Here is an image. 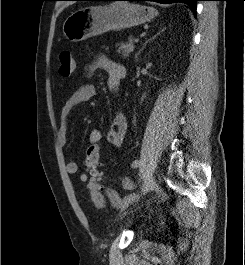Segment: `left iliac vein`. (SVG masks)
Segmentation results:
<instances>
[{
	"label": "left iliac vein",
	"instance_id": "4c4485c4",
	"mask_svg": "<svg viewBox=\"0 0 245 265\" xmlns=\"http://www.w3.org/2000/svg\"><path fill=\"white\" fill-rule=\"evenodd\" d=\"M157 184L154 179V177L150 176L146 181L142 189V194L145 195L148 192L154 190L156 188Z\"/></svg>",
	"mask_w": 245,
	"mask_h": 265
}]
</instances>
